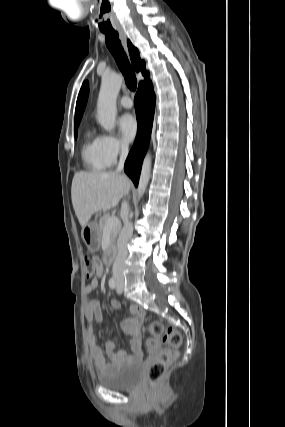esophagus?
Wrapping results in <instances>:
<instances>
[{
    "label": "esophagus",
    "mask_w": 285,
    "mask_h": 427,
    "mask_svg": "<svg viewBox=\"0 0 285 427\" xmlns=\"http://www.w3.org/2000/svg\"><path fill=\"white\" fill-rule=\"evenodd\" d=\"M117 31L120 35V39L122 41L123 46L126 48V35L124 33V30L122 28H118Z\"/></svg>",
    "instance_id": "34e87169"
}]
</instances>
